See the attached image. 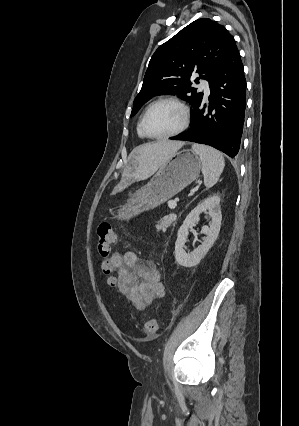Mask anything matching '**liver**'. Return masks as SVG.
<instances>
[{
	"instance_id": "6515ba94",
	"label": "liver",
	"mask_w": 299,
	"mask_h": 426,
	"mask_svg": "<svg viewBox=\"0 0 299 426\" xmlns=\"http://www.w3.org/2000/svg\"><path fill=\"white\" fill-rule=\"evenodd\" d=\"M183 145L182 141L161 140L138 146L132 152L134 176L145 179L153 175Z\"/></svg>"
}]
</instances>
